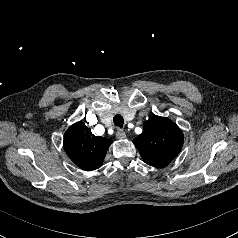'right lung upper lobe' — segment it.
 I'll return each mask as SVG.
<instances>
[{
	"label": "right lung upper lobe",
	"mask_w": 238,
	"mask_h": 238,
	"mask_svg": "<svg viewBox=\"0 0 238 238\" xmlns=\"http://www.w3.org/2000/svg\"><path fill=\"white\" fill-rule=\"evenodd\" d=\"M112 141L95 136L83 123L70 126L64 135V149L69 158L81 169L92 171L102 166Z\"/></svg>",
	"instance_id": "right-lung-upper-lobe-1"
}]
</instances>
